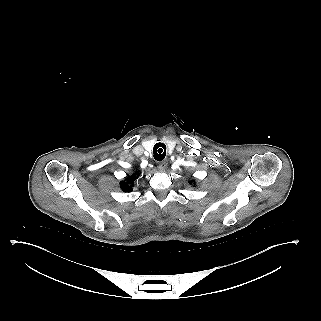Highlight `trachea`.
Wrapping results in <instances>:
<instances>
[{"label":"trachea","mask_w":321,"mask_h":321,"mask_svg":"<svg viewBox=\"0 0 321 321\" xmlns=\"http://www.w3.org/2000/svg\"><path fill=\"white\" fill-rule=\"evenodd\" d=\"M154 158L157 161H161L165 158L166 155V146L163 143H157L153 147Z\"/></svg>","instance_id":"trachea-1"}]
</instances>
